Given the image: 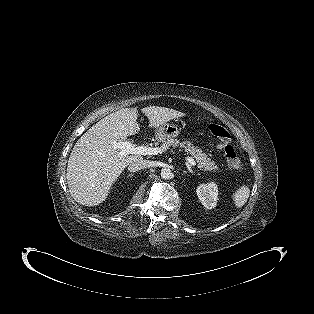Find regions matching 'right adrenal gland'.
I'll return each mask as SVG.
<instances>
[{"mask_svg":"<svg viewBox=\"0 0 314 314\" xmlns=\"http://www.w3.org/2000/svg\"><path fill=\"white\" fill-rule=\"evenodd\" d=\"M134 175L132 173L128 174L127 177H133Z\"/></svg>","mask_w":314,"mask_h":314,"instance_id":"right-adrenal-gland-1","label":"right adrenal gland"}]
</instances>
